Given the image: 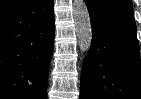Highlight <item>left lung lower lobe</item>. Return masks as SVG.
Segmentation results:
<instances>
[{"instance_id":"left-lung-lower-lobe-1","label":"left lung lower lobe","mask_w":141,"mask_h":99,"mask_svg":"<svg viewBox=\"0 0 141 99\" xmlns=\"http://www.w3.org/2000/svg\"><path fill=\"white\" fill-rule=\"evenodd\" d=\"M92 43L80 99H141V63L130 0H85Z\"/></svg>"}]
</instances>
